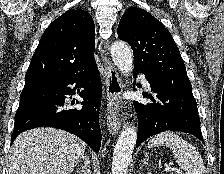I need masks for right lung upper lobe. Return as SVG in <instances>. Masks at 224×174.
Masks as SVG:
<instances>
[{
    "label": "right lung upper lobe",
    "mask_w": 224,
    "mask_h": 174,
    "mask_svg": "<svg viewBox=\"0 0 224 174\" xmlns=\"http://www.w3.org/2000/svg\"><path fill=\"white\" fill-rule=\"evenodd\" d=\"M95 26L91 15L70 9L43 33L25 76V83L72 74L92 67Z\"/></svg>",
    "instance_id": "cb5924a9"
}]
</instances>
